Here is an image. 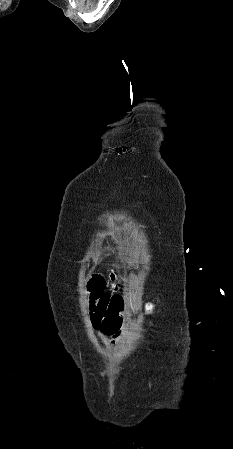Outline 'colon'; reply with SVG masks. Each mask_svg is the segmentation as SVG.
I'll return each instance as SVG.
<instances>
[{"instance_id": "1", "label": "colon", "mask_w": 233, "mask_h": 449, "mask_svg": "<svg viewBox=\"0 0 233 449\" xmlns=\"http://www.w3.org/2000/svg\"><path fill=\"white\" fill-rule=\"evenodd\" d=\"M106 283L99 273H93L89 278L92 323L94 328H122L127 313L124 298L119 292H106Z\"/></svg>"}]
</instances>
